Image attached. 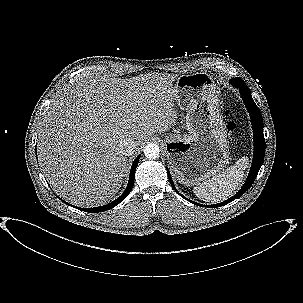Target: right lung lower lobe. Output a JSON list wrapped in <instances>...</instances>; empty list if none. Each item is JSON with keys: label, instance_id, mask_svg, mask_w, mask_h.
I'll return each mask as SVG.
<instances>
[{"label": "right lung lower lobe", "instance_id": "1", "mask_svg": "<svg viewBox=\"0 0 303 303\" xmlns=\"http://www.w3.org/2000/svg\"><path fill=\"white\" fill-rule=\"evenodd\" d=\"M36 156H37V154H36ZM139 159H140V155L134 160V162L132 164V167H131V170H130V177H129V181H128L126 190L124 191V193L120 197H118L113 202H111L107 205H104V206H100V207H95V208H78V207H75V208L80 209V210H84V211H87V212H91V213H96V212H103V211L109 210V209L115 207L116 205H118L120 202H122L132 190V187H133V184H134V179H135V170L137 168Z\"/></svg>", "mask_w": 303, "mask_h": 303}]
</instances>
